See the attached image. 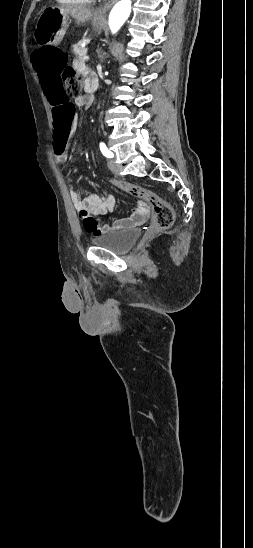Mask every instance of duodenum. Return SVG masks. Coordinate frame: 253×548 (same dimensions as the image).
<instances>
[{"label":"duodenum","mask_w":253,"mask_h":548,"mask_svg":"<svg viewBox=\"0 0 253 548\" xmlns=\"http://www.w3.org/2000/svg\"><path fill=\"white\" fill-rule=\"evenodd\" d=\"M98 87V80L95 75L89 76L85 81V91L87 94L92 95V93Z\"/></svg>","instance_id":"1"}]
</instances>
